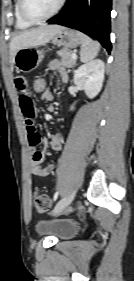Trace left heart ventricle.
Listing matches in <instances>:
<instances>
[{
    "label": "left heart ventricle",
    "mask_w": 134,
    "mask_h": 281,
    "mask_svg": "<svg viewBox=\"0 0 134 281\" xmlns=\"http://www.w3.org/2000/svg\"><path fill=\"white\" fill-rule=\"evenodd\" d=\"M60 0H26V7L30 14L42 17L51 13Z\"/></svg>",
    "instance_id": "obj_1"
}]
</instances>
